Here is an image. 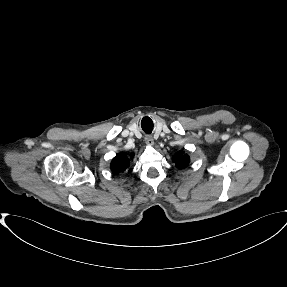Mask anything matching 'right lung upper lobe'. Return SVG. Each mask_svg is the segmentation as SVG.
I'll return each instance as SVG.
<instances>
[{"mask_svg": "<svg viewBox=\"0 0 287 287\" xmlns=\"http://www.w3.org/2000/svg\"><path fill=\"white\" fill-rule=\"evenodd\" d=\"M130 165L129 159L127 158L126 155L120 153L117 154L112 162H111V171L114 174H119L121 172H124Z\"/></svg>", "mask_w": 287, "mask_h": 287, "instance_id": "1", "label": "right lung upper lobe"}]
</instances>
